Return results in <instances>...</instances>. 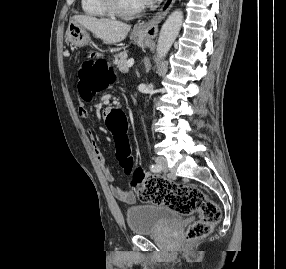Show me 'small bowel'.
<instances>
[{
    "instance_id": "1",
    "label": "small bowel",
    "mask_w": 286,
    "mask_h": 269,
    "mask_svg": "<svg viewBox=\"0 0 286 269\" xmlns=\"http://www.w3.org/2000/svg\"><path fill=\"white\" fill-rule=\"evenodd\" d=\"M78 114H79V117L81 119H87L88 118V110H87V107H86L84 102H81L79 104ZM106 116H110V108H103V111H100L99 120H106ZM88 133L90 136V142H91V146L93 149L95 159H96L98 165L100 166V168L102 169V172H103L106 180L108 182H112L113 181L112 172L109 168L105 167L104 157H103V154L101 153V151L97 145L96 139H95V137L92 134L90 129H88ZM116 157H117V155H116ZM111 191H112V194L114 195V197L116 199H118L119 201H121L125 204H132L136 200L134 193L129 191V190L112 186Z\"/></svg>"
}]
</instances>
